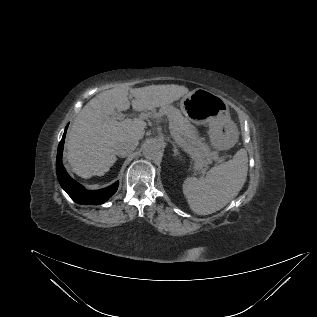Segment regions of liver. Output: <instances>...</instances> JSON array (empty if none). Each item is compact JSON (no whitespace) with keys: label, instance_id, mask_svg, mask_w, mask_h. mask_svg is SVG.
Wrapping results in <instances>:
<instances>
[{"label":"liver","instance_id":"obj_1","mask_svg":"<svg viewBox=\"0 0 317 317\" xmlns=\"http://www.w3.org/2000/svg\"><path fill=\"white\" fill-rule=\"evenodd\" d=\"M129 93L134 97L133 109L142 112L177 101L188 89L175 84L133 89L120 86L92 98L78 113L67 135V159L78 176L104 175L117 160L118 143L143 138L146 123L142 119L117 121L112 118L115 109H129Z\"/></svg>","mask_w":317,"mask_h":317}]
</instances>
